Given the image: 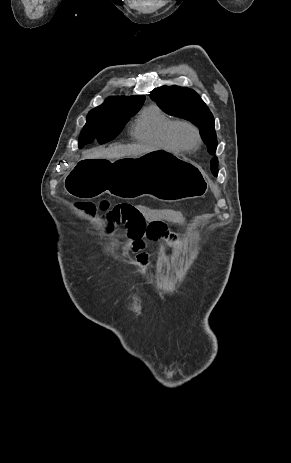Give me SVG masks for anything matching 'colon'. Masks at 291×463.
<instances>
[{
  "label": "colon",
  "instance_id": "colon-1",
  "mask_svg": "<svg viewBox=\"0 0 291 463\" xmlns=\"http://www.w3.org/2000/svg\"><path fill=\"white\" fill-rule=\"evenodd\" d=\"M77 206H79L88 213H94L96 211V206L92 203H78ZM99 209L102 212L109 213L113 218L120 219L124 217V214L130 209V206L126 204H118L114 207H111L110 203L107 200H103L99 204ZM105 226L107 228H110L112 226V223L110 221H107L105 223Z\"/></svg>",
  "mask_w": 291,
  "mask_h": 463
}]
</instances>
